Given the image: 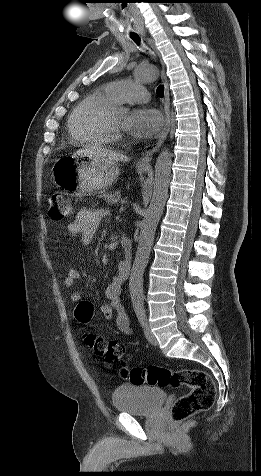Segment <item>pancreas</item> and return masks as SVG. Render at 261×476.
<instances>
[{"label": "pancreas", "mask_w": 261, "mask_h": 476, "mask_svg": "<svg viewBox=\"0 0 261 476\" xmlns=\"http://www.w3.org/2000/svg\"><path fill=\"white\" fill-rule=\"evenodd\" d=\"M103 197L106 199L108 205H116L120 201V192L116 191L114 193H104Z\"/></svg>", "instance_id": "pancreas-1"}]
</instances>
